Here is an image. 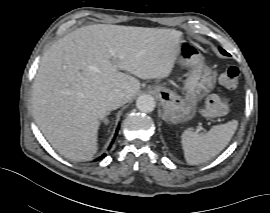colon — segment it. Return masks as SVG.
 Segmentation results:
<instances>
[{"label": "colon", "mask_w": 270, "mask_h": 213, "mask_svg": "<svg viewBox=\"0 0 270 213\" xmlns=\"http://www.w3.org/2000/svg\"><path fill=\"white\" fill-rule=\"evenodd\" d=\"M239 71L236 66L227 68L220 77V85L226 90H233L238 85ZM230 108V101L225 97L214 95L209 97L202 107V115L207 119L224 116Z\"/></svg>", "instance_id": "5ec220e1"}]
</instances>
